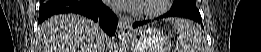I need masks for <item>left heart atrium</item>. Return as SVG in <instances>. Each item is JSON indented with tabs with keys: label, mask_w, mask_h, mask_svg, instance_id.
<instances>
[{
	"label": "left heart atrium",
	"mask_w": 261,
	"mask_h": 52,
	"mask_svg": "<svg viewBox=\"0 0 261 52\" xmlns=\"http://www.w3.org/2000/svg\"><path fill=\"white\" fill-rule=\"evenodd\" d=\"M145 2L144 0H113L112 5L116 8H124L128 10L135 9L139 4Z\"/></svg>",
	"instance_id": "39dd6f15"
}]
</instances>
